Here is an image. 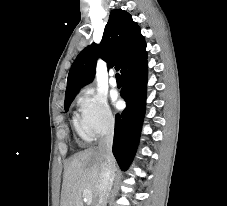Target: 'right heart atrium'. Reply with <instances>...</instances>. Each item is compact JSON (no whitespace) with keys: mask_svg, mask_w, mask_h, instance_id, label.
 <instances>
[{"mask_svg":"<svg viewBox=\"0 0 227 206\" xmlns=\"http://www.w3.org/2000/svg\"><path fill=\"white\" fill-rule=\"evenodd\" d=\"M81 124L91 138H97L113 129L115 118L107 99L92 88L83 89L77 97Z\"/></svg>","mask_w":227,"mask_h":206,"instance_id":"d8ad5b80","label":"right heart atrium"}]
</instances>
